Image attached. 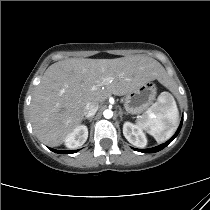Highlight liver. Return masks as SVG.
<instances>
[{
	"label": "liver",
	"mask_w": 210,
	"mask_h": 210,
	"mask_svg": "<svg viewBox=\"0 0 210 210\" xmlns=\"http://www.w3.org/2000/svg\"><path fill=\"white\" fill-rule=\"evenodd\" d=\"M156 79L166 84L164 68L142 55L56 62L35 89L30 105L33 130L44 144L59 146L81 124L87 103H103L111 94L123 96Z\"/></svg>",
	"instance_id": "obj_1"
}]
</instances>
